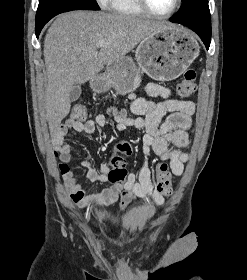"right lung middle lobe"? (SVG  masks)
I'll return each instance as SVG.
<instances>
[{
    "label": "right lung middle lobe",
    "instance_id": "obj_1",
    "mask_svg": "<svg viewBox=\"0 0 247 280\" xmlns=\"http://www.w3.org/2000/svg\"><path fill=\"white\" fill-rule=\"evenodd\" d=\"M96 0H40L36 24H46L57 14L71 10H99Z\"/></svg>",
    "mask_w": 247,
    "mask_h": 280
}]
</instances>
